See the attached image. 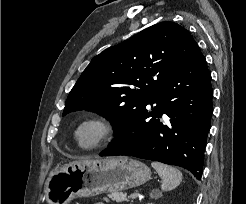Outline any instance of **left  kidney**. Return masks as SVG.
<instances>
[{"label": "left kidney", "mask_w": 246, "mask_h": 204, "mask_svg": "<svg viewBox=\"0 0 246 204\" xmlns=\"http://www.w3.org/2000/svg\"><path fill=\"white\" fill-rule=\"evenodd\" d=\"M147 204H155V203L150 202V203H147Z\"/></svg>", "instance_id": "1"}]
</instances>
